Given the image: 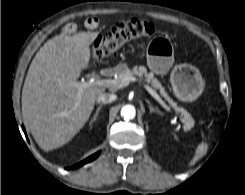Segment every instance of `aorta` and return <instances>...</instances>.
Returning <instances> with one entry per match:
<instances>
[{"mask_svg": "<svg viewBox=\"0 0 245 195\" xmlns=\"http://www.w3.org/2000/svg\"><path fill=\"white\" fill-rule=\"evenodd\" d=\"M136 115L135 107L132 105H125L121 109V116L124 119H133Z\"/></svg>", "mask_w": 245, "mask_h": 195, "instance_id": "1", "label": "aorta"}]
</instances>
